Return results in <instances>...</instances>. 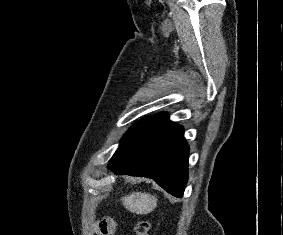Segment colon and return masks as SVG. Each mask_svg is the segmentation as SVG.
Masks as SVG:
<instances>
[{
    "mask_svg": "<svg viewBox=\"0 0 283 235\" xmlns=\"http://www.w3.org/2000/svg\"><path fill=\"white\" fill-rule=\"evenodd\" d=\"M150 223L147 220H139L135 224V235H149Z\"/></svg>",
    "mask_w": 283,
    "mask_h": 235,
    "instance_id": "obj_1",
    "label": "colon"
}]
</instances>
